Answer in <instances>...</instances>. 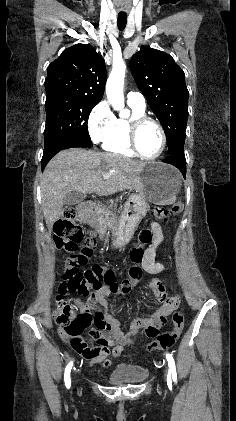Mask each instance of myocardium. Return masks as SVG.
<instances>
[{
    "label": "myocardium",
    "instance_id": "f54148a6",
    "mask_svg": "<svg viewBox=\"0 0 236 421\" xmlns=\"http://www.w3.org/2000/svg\"><path fill=\"white\" fill-rule=\"evenodd\" d=\"M145 122H150L152 124H154L159 133H160V137H161V146L160 149L158 151V153L154 156H145L143 155L137 145V130L139 128V126ZM126 134H127V139L129 142V145L132 149V151L134 152V154L136 156H138L141 159L144 160H156L158 158H160V156L163 154V152L165 151L166 148V144H167V136H166V132L163 128V126L154 118L146 116V115H134L132 117L129 118L127 125H126Z\"/></svg>",
    "mask_w": 236,
    "mask_h": 421
}]
</instances>
